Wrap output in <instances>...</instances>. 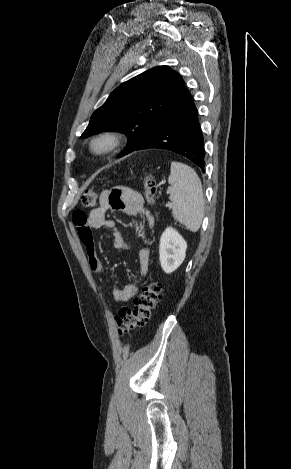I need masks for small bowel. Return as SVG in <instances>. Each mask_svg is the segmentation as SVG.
<instances>
[{
	"label": "small bowel",
	"mask_w": 291,
	"mask_h": 469,
	"mask_svg": "<svg viewBox=\"0 0 291 469\" xmlns=\"http://www.w3.org/2000/svg\"><path fill=\"white\" fill-rule=\"evenodd\" d=\"M108 211H119L131 216L145 214L148 222H153L152 217L146 212L141 194L129 187H116L102 193L100 204L88 215L83 211H76L73 215V223L76 226L79 238L85 248L88 265L93 273L102 274L103 266L97 257L95 242L92 231L105 227L113 232V245L117 249H126L129 244L122 236L116 222L106 218ZM82 230L85 234H82ZM149 250L143 247L139 252V273L142 278L148 274ZM139 288L137 279L132 280L126 286L115 288L113 297L117 302H126L133 298Z\"/></svg>",
	"instance_id": "small-bowel-1"
}]
</instances>
